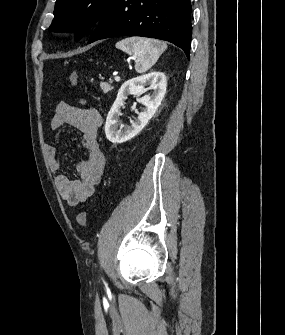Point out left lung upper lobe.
<instances>
[{
	"instance_id": "1",
	"label": "left lung upper lobe",
	"mask_w": 285,
	"mask_h": 335,
	"mask_svg": "<svg viewBox=\"0 0 285 335\" xmlns=\"http://www.w3.org/2000/svg\"><path fill=\"white\" fill-rule=\"evenodd\" d=\"M114 0H56L54 20L50 30L75 31L76 40L98 23Z\"/></svg>"
}]
</instances>
